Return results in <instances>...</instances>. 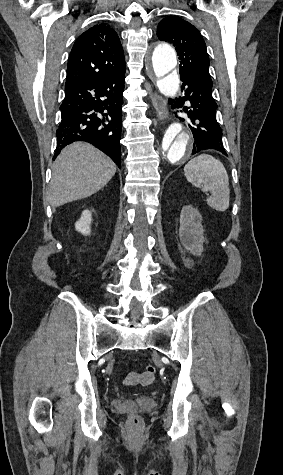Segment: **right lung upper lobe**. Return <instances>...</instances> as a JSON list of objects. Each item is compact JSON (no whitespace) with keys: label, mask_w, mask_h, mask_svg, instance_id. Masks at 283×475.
Segmentation results:
<instances>
[{"label":"right lung upper lobe","mask_w":283,"mask_h":475,"mask_svg":"<svg viewBox=\"0 0 283 475\" xmlns=\"http://www.w3.org/2000/svg\"><path fill=\"white\" fill-rule=\"evenodd\" d=\"M125 73V59L117 33L97 24L75 41L68 59L66 85L101 81Z\"/></svg>","instance_id":"right-lung-upper-lobe-1"}]
</instances>
